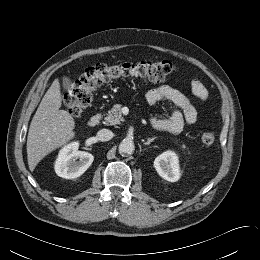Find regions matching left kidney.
I'll return each mask as SVG.
<instances>
[{
    "label": "left kidney",
    "mask_w": 260,
    "mask_h": 260,
    "mask_svg": "<svg viewBox=\"0 0 260 260\" xmlns=\"http://www.w3.org/2000/svg\"><path fill=\"white\" fill-rule=\"evenodd\" d=\"M154 167L157 173L167 181L176 182L180 178L178 156L173 151L163 152L156 157Z\"/></svg>",
    "instance_id": "5707ae66"
}]
</instances>
